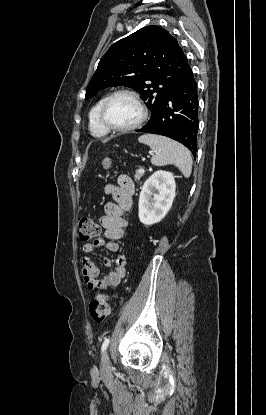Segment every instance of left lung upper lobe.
I'll use <instances>...</instances> for the list:
<instances>
[{"label":"left lung upper lobe","mask_w":266,"mask_h":415,"mask_svg":"<svg viewBox=\"0 0 266 415\" xmlns=\"http://www.w3.org/2000/svg\"><path fill=\"white\" fill-rule=\"evenodd\" d=\"M188 65L178 41L159 26H147L113 44L101 58L86 89V99L110 86L141 94L157 114Z\"/></svg>","instance_id":"5c2ea615"}]
</instances>
